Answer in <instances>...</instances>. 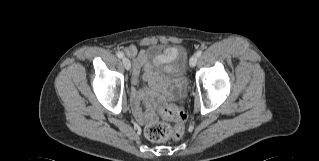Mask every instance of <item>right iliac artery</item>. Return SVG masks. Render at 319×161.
Masks as SVG:
<instances>
[{
  "label": "right iliac artery",
  "instance_id": "obj_1",
  "mask_svg": "<svg viewBox=\"0 0 319 161\" xmlns=\"http://www.w3.org/2000/svg\"><path fill=\"white\" fill-rule=\"evenodd\" d=\"M117 57H118V58H123V57H124V54H123L122 52H118V53H117Z\"/></svg>",
  "mask_w": 319,
  "mask_h": 161
}]
</instances>
